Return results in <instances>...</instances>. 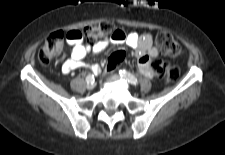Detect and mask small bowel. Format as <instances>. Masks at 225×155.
I'll return each mask as SVG.
<instances>
[{"instance_id":"obj_1","label":"small bowel","mask_w":225,"mask_h":155,"mask_svg":"<svg viewBox=\"0 0 225 155\" xmlns=\"http://www.w3.org/2000/svg\"><path fill=\"white\" fill-rule=\"evenodd\" d=\"M67 40L72 46L71 57L67 59L62 66L64 73H69L75 69L87 67L84 61L85 56L90 53H101L110 44L124 43L130 48L134 49L135 55L138 59V68L142 75L152 78L155 71L152 68V63L159 55V50L153 45L152 36L150 34H138L136 32L126 33L121 29L93 44H83L82 33L78 29H71L67 33ZM94 73H99L98 65L92 66Z\"/></svg>"}]
</instances>
